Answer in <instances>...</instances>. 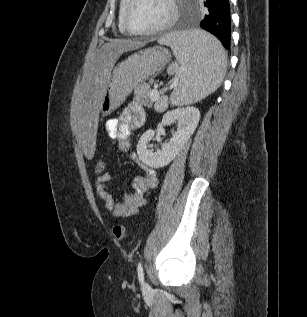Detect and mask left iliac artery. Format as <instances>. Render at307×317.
Listing matches in <instances>:
<instances>
[{
	"instance_id": "44dca946",
	"label": "left iliac artery",
	"mask_w": 307,
	"mask_h": 317,
	"mask_svg": "<svg viewBox=\"0 0 307 317\" xmlns=\"http://www.w3.org/2000/svg\"><path fill=\"white\" fill-rule=\"evenodd\" d=\"M137 272H138L139 281H140L141 284H143L144 272H143V267H142V263L141 262L138 263Z\"/></svg>"
}]
</instances>
